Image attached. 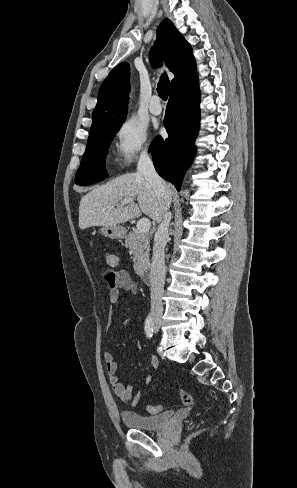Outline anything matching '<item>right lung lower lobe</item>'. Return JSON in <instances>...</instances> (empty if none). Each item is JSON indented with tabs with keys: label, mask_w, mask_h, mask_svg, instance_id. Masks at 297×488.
Instances as JSON below:
<instances>
[{
	"label": "right lung lower lobe",
	"mask_w": 297,
	"mask_h": 488,
	"mask_svg": "<svg viewBox=\"0 0 297 488\" xmlns=\"http://www.w3.org/2000/svg\"><path fill=\"white\" fill-rule=\"evenodd\" d=\"M199 103L198 76L173 88L164 118L169 137L157 136L150 145L156 171L178 191L196 153L194 142L199 130Z\"/></svg>",
	"instance_id": "1"
}]
</instances>
